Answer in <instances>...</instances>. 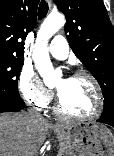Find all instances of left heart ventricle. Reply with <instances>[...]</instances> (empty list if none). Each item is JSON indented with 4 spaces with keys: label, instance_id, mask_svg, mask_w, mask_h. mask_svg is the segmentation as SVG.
Masks as SVG:
<instances>
[{
    "label": "left heart ventricle",
    "instance_id": "1",
    "mask_svg": "<svg viewBox=\"0 0 114 156\" xmlns=\"http://www.w3.org/2000/svg\"><path fill=\"white\" fill-rule=\"evenodd\" d=\"M56 89L63 109L75 116H86L96 109V94L92 83L86 78L59 79Z\"/></svg>",
    "mask_w": 114,
    "mask_h": 156
}]
</instances>
